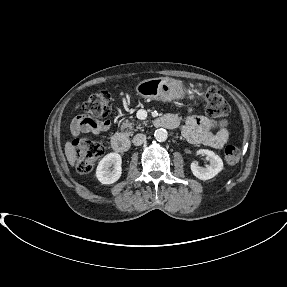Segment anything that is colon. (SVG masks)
Wrapping results in <instances>:
<instances>
[{
	"instance_id": "1",
	"label": "colon",
	"mask_w": 287,
	"mask_h": 287,
	"mask_svg": "<svg viewBox=\"0 0 287 287\" xmlns=\"http://www.w3.org/2000/svg\"><path fill=\"white\" fill-rule=\"evenodd\" d=\"M83 110L91 118H105L112 113L111 97L107 91L92 94L82 105ZM205 110L208 116L215 119V126L222 129L226 125L224 117L230 112V106L218 88H208L205 95ZM76 152L77 170L80 173L90 172L96 161L104 154V145L100 141L87 138H76L73 141ZM240 149L234 145L225 147L224 156L228 164L234 165L240 159Z\"/></svg>"
}]
</instances>
